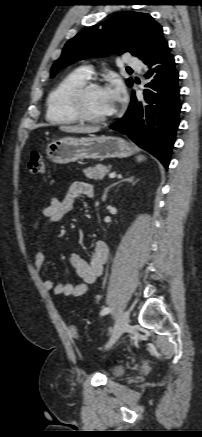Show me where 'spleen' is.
<instances>
[{"instance_id": "3e777b00", "label": "spleen", "mask_w": 202, "mask_h": 437, "mask_svg": "<svg viewBox=\"0 0 202 437\" xmlns=\"http://www.w3.org/2000/svg\"><path fill=\"white\" fill-rule=\"evenodd\" d=\"M145 158H144V156H139L138 158H137V160L139 161V162H141L142 160H144Z\"/></svg>"}]
</instances>
